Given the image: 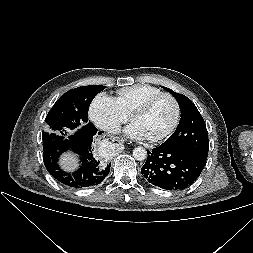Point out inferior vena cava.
I'll return each mask as SVG.
<instances>
[{
	"instance_id": "obj_1",
	"label": "inferior vena cava",
	"mask_w": 253,
	"mask_h": 253,
	"mask_svg": "<svg viewBox=\"0 0 253 253\" xmlns=\"http://www.w3.org/2000/svg\"><path fill=\"white\" fill-rule=\"evenodd\" d=\"M106 131H108L109 133H112V134H118L121 131V126L118 123L108 124L106 126Z\"/></svg>"
}]
</instances>
